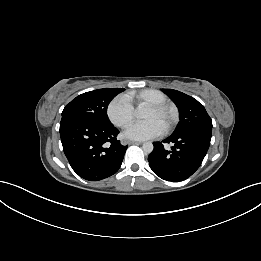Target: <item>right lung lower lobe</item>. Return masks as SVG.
Here are the masks:
<instances>
[{
	"label": "right lung lower lobe",
	"instance_id": "1",
	"mask_svg": "<svg viewBox=\"0 0 261 261\" xmlns=\"http://www.w3.org/2000/svg\"><path fill=\"white\" fill-rule=\"evenodd\" d=\"M118 129L72 117H62L60 136L72 169L83 179L98 181L120 168L127 145L116 139Z\"/></svg>",
	"mask_w": 261,
	"mask_h": 261
}]
</instances>
